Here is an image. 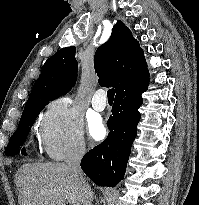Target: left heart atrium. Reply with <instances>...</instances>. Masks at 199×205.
Masks as SVG:
<instances>
[{"instance_id":"left-heart-atrium-1","label":"left heart atrium","mask_w":199,"mask_h":205,"mask_svg":"<svg viewBox=\"0 0 199 205\" xmlns=\"http://www.w3.org/2000/svg\"><path fill=\"white\" fill-rule=\"evenodd\" d=\"M90 135L95 140H100L105 136L106 130L100 120H94L89 126Z\"/></svg>"}]
</instances>
